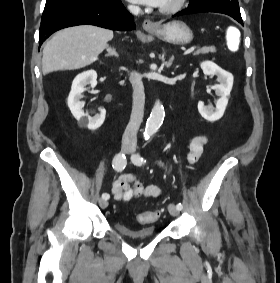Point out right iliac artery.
Here are the masks:
<instances>
[{"mask_svg": "<svg viewBox=\"0 0 280 283\" xmlns=\"http://www.w3.org/2000/svg\"><path fill=\"white\" fill-rule=\"evenodd\" d=\"M127 164V160L124 154L118 153L115 155L113 159L112 166L117 172H121L125 169ZM109 194L108 193H103L102 198L108 200L109 199Z\"/></svg>", "mask_w": 280, "mask_h": 283, "instance_id": "82829eb1", "label": "right iliac artery"}]
</instances>
